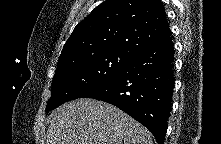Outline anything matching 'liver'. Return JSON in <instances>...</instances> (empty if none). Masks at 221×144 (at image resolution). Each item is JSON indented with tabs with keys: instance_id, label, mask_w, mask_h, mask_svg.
Wrapping results in <instances>:
<instances>
[{
	"instance_id": "liver-1",
	"label": "liver",
	"mask_w": 221,
	"mask_h": 144,
	"mask_svg": "<svg viewBox=\"0 0 221 144\" xmlns=\"http://www.w3.org/2000/svg\"><path fill=\"white\" fill-rule=\"evenodd\" d=\"M47 144H153L151 133L117 107L77 99L49 116Z\"/></svg>"
}]
</instances>
